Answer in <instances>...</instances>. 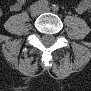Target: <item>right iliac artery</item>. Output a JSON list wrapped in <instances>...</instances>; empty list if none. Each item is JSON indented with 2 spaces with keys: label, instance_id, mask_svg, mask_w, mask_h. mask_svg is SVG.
<instances>
[{
  "label": "right iliac artery",
  "instance_id": "right-iliac-artery-1",
  "mask_svg": "<svg viewBox=\"0 0 91 91\" xmlns=\"http://www.w3.org/2000/svg\"><path fill=\"white\" fill-rule=\"evenodd\" d=\"M49 5V2L47 0H40L38 2H35L30 6V11L36 9V8H43L47 7Z\"/></svg>",
  "mask_w": 91,
  "mask_h": 91
}]
</instances>
